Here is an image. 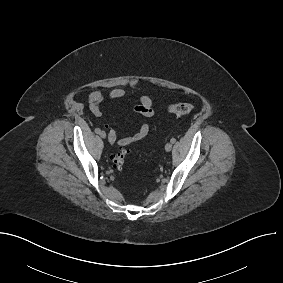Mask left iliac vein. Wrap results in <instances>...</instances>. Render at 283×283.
Returning <instances> with one entry per match:
<instances>
[{"instance_id": "1", "label": "left iliac vein", "mask_w": 283, "mask_h": 283, "mask_svg": "<svg viewBox=\"0 0 283 283\" xmlns=\"http://www.w3.org/2000/svg\"><path fill=\"white\" fill-rule=\"evenodd\" d=\"M171 149H172V143L169 142V143H167V144L165 145V150H166L167 152H169V151H171Z\"/></svg>"}]
</instances>
